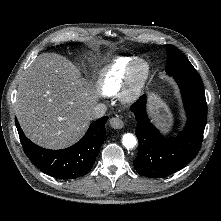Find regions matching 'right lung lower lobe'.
<instances>
[{
  "mask_svg": "<svg viewBox=\"0 0 221 221\" xmlns=\"http://www.w3.org/2000/svg\"><path fill=\"white\" fill-rule=\"evenodd\" d=\"M107 117L94 121L84 137L73 146L62 150H49L32 143L15 119L25 154L44 173L59 178L73 179L86 175L94 165L102 143L106 139Z\"/></svg>",
  "mask_w": 221,
  "mask_h": 221,
  "instance_id": "obj_1",
  "label": "right lung lower lobe"
}]
</instances>
